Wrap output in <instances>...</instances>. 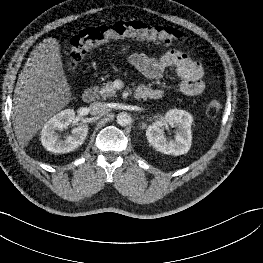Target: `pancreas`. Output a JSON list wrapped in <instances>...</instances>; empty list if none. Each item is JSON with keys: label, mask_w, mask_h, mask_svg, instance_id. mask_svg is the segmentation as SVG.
<instances>
[{"label": "pancreas", "mask_w": 263, "mask_h": 263, "mask_svg": "<svg viewBox=\"0 0 263 263\" xmlns=\"http://www.w3.org/2000/svg\"><path fill=\"white\" fill-rule=\"evenodd\" d=\"M97 92L105 99L108 97L116 96V89L113 86V82H107L102 87L97 88Z\"/></svg>", "instance_id": "obj_1"}]
</instances>
